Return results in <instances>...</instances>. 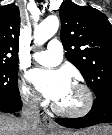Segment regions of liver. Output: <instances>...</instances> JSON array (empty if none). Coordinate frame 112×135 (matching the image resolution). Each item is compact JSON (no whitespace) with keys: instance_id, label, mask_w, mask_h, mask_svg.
Instances as JSON below:
<instances>
[{"instance_id":"obj_1","label":"liver","mask_w":112,"mask_h":135,"mask_svg":"<svg viewBox=\"0 0 112 135\" xmlns=\"http://www.w3.org/2000/svg\"><path fill=\"white\" fill-rule=\"evenodd\" d=\"M17 118L0 113V135H26ZM34 135H43L40 128L34 132Z\"/></svg>"}]
</instances>
